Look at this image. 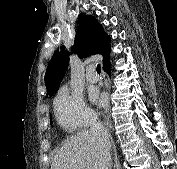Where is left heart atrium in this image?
I'll return each instance as SVG.
<instances>
[{"mask_svg": "<svg viewBox=\"0 0 177 169\" xmlns=\"http://www.w3.org/2000/svg\"><path fill=\"white\" fill-rule=\"evenodd\" d=\"M92 99L94 100V101H97L98 100V94L97 93H92Z\"/></svg>", "mask_w": 177, "mask_h": 169, "instance_id": "obj_1", "label": "left heart atrium"}]
</instances>
